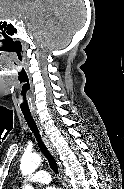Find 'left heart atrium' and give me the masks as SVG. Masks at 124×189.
<instances>
[{"instance_id": "39dd6f15", "label": "left heart atrium", "mask_w": 124, "mask_h": 189, "mask_svg": "<svg viewBox=\"0 0 124 189\" xmlns=\"http://www.w3.org/2000/svg\"><path fill=\"white\" fill-rule=\"evenodd\" d=\"M46 189H56V188H54V187H48V188H46Z\"/></svg>"}]
</instances>
